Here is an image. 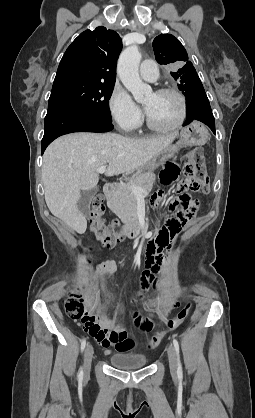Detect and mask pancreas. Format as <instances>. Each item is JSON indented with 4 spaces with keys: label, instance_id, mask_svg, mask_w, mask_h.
Wrapping results in <instances>:
<instances>
[{
    "label": "pancreas",
    "instance_id": "cf45deb5",
    "mask_svg": "<svg viewBox=\"0 0 255 418\" xmlns=\"http://www.w3.org/2000/svg\"><path fill=\"white\" fill-rule=\"evenodd\" d=\"M155 174L148 172H136L127 182L120 184L114 194L108 199V207L122 220L137 219V200L132 192V186H138L148 194L154 184Z\"/></svg>",
    "mask_w": 255,
    "mask_h": 418
}]
</instances>
